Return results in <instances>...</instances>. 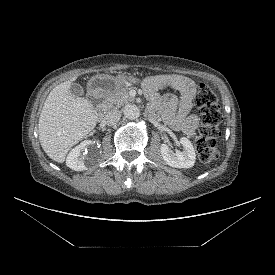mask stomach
Segmentation results:
<instances>
[{
	"instance_id": "1",
	"label": "stomach",
	"mask_w": 275,
	"mask_h": 275,
	"mask_svg": "<svg viewBox=\"0 0 275 275\" xmlns=\"http://www.w3.org/2000/svg\"><path fill=\"white\" fill-rule=\"evenodd\" d=\"M128 80L126 75L109 76L95 75L88 83L89 88L94 94L110 95L116 92Z\"/></svg>"
}]
</instances>
